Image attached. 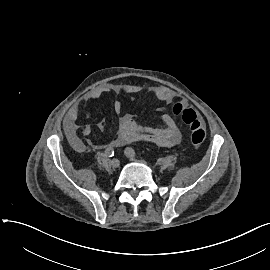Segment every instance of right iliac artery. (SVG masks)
Segmentation results:
<instances>
[{
  "label": "right iliac artery",
  "mask_w": 270,
  "mask_h": 270,
  "mask_svg": "<svg viewBox=\"0 0 270 270\" xmlns=\"http://www.w3.org/2000/svg\"><path fill=\"white\" fill-rule=\"evenodd\" d=\"M105 153L108 157H113L114 156V149L111 146H109L106 148Z\"/></svg>",
  "instance_id": "82829eb1"
}]
</instances>
